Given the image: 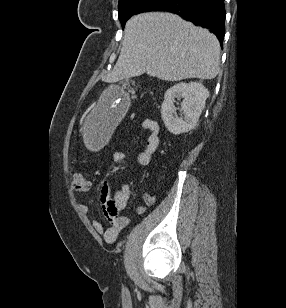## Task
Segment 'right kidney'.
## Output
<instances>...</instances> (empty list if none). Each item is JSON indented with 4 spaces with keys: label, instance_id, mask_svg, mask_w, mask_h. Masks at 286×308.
<instances>
[{
    "label": "right kidney",
    "instance_id": "right-kidney-1",
    "mask_svg": "<svg viewBox=\"0 0 286 308\" xmlns=\"http://www.w3.org/2000/svg\"><path fill=\"white\" fill-rule=\"evenodd\" d=\"M208 96V90L199 82L179 83L168 89L161 107V117L168 131L179 135L195 128ZM175 98L183 99L184 117L175 115Z\"/></svg>",
    "mask_w": 286,
    "mask_h": 308
}]
</instances>
